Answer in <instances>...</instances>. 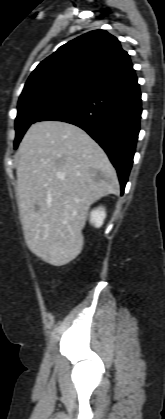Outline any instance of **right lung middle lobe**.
Returning a JSON list of instances; mask_svg holds the SVG:
<instances>
[{
  "mask_svg": "<svg viewBox=\"0 0 165 419\" xmlns=\"http://www.w3.org/2000/svg\"><path fill=\"white\" fill-rule=\"evenodd\" d=\"M85 94L87 92L79 89L53 86L36 89L21 95L15 120L16 138L14 148L18 147L24 133L31 124L37 122L46 113Z\"/></svg>",
  "mask_w": 165,
  "mask_h": 419,
  "instance_id": "dd1d6c3e",
  "label": "right lung middle lobe"
}]
</instances>
